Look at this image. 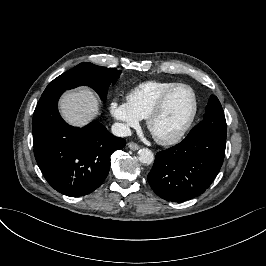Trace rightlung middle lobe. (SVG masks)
I'll list each match as a JSON object with an SVG mask.
<instances>
[{"instance_id": "obj_1", "label": "right lung middle lobe", "mask_w": 266, "mask_h": 266, "mask_svg": "<svg viewBox=\"0 0 266 266\" xmlns=\"http://www.w3.org/2000/svg\"><path fill=\"white\" fill-rule=\"evenodd\" d=\"M120 73L121 71L115 68L101 67L89 62L80 63L51 81L42 96L58 90L65 91L87 85L93 88L102 100H105L108 86L120 76Z\"/></svg>"}]
</instances>
